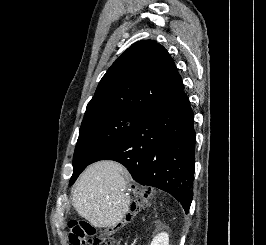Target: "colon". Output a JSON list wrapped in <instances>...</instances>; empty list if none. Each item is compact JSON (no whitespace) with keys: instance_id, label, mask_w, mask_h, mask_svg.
Instances as JSON below:
<instances>
[{"instance_id":"colon-1","label":"colon","mask_w":266,"mask_h":245,"mask_svg":"<svg viewBox=\"0 0 266 245\" xmlns=\"http://www.w3.org/2000/svg\"><path fill=\"white\" fill-rule=\"evenodd\" d=\"M148 198H139V202H146ZM69 245H121L120 242L109 236L107 232L96 234L93 226L86 221L79 223L72 219L68 223Z\"/></svg>"}]
</instances>
